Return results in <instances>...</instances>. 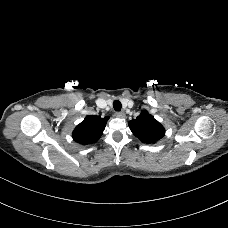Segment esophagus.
<instances>
[{
    "mask_svg": "<svg viewBox=\"0 0 228 228\" xmlns=\"http://www.w3.org/2000/svg\"><path fill=\"white\" fill-rule=\"evenodd\" d=\"M115 116L118 118H124L125 117V113L124 112H116Z\"/></svg>",
    "mask_w": 228,
    "mask_h": 228,
    "instance_id": "esophagus-1",
    "label": "esophagus"
}]
</instances>
